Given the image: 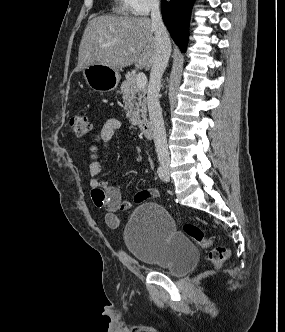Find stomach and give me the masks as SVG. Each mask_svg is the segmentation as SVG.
I'll return each mask as SVG.
<instances>
[{
  "label": "stomach",
  "mask_w": 285,
  "mask_h": 332,
  "mask_svg": "<svg viewBox=\"0 0 285 332\" xmlns=\"http://www.w3.org/2000/svg\"><path fill=\"white\" fill-rule=\"evenodd\" d=\"M83 76L88 86L98 92L113 91L121 78L117 69L101 64L87 66L83 70Z\"/></svg>",
  "instance_id": "obj_1"
}]
</instances>
